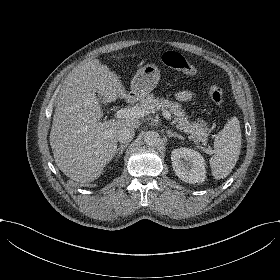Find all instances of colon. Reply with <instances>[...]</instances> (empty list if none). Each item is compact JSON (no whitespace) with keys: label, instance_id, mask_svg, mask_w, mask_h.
<instances>
[{"label":"colon","instance_id":"5ec220e1","mask_svg":"<svg viewBox=\"0 0 280 280\" xmlns=\"http://www.w3.org/2000/svg\"><path fill=\"white\" fill-rule=\"evenodd\" d=\"M163 60L169 67L175 68L178 71H182L187 75H192L196 71V65L194 62L186 60L183 57H178L172 51L165 52L163 55ZM209 95L215 104L222 105L224 101V95L220 87L211 86L209 89Z\"/></svg>","mask_w":280,"mask_h":280}]
</instances>
